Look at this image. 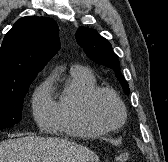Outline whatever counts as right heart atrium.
<instances>
[{"instance_id":"right-heart-atrium-1","label":"right heart atrium","mask_w":168,"mask_h":162,"mask_svg":"<svg viewBox=\"0 0 168 162\" xmlns=\"http://www.w3.org/2000/svg\"><path fill=\"white\" fill-rule=\"evenodd\" d=\"M32 110L35 121L40 127L52 125L55 116V102L51 98L50 81L42 82L34 92Z\"/></svg>"}]
</instances>
